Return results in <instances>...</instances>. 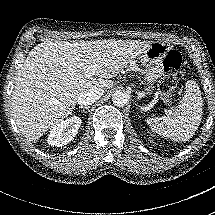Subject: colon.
Masks as SVG:
<instances>
[{"mask_svg": "<svg viewBox=\"0 0 215 215\" xmlns=\"http://www.w3.org/2000/svg\"><path fill=\"white\" fill-rule=\"evenodd\" d=\"M182 55L178 51H169L163 61L166 76L160 81L158 89L160 97L167 103L174 100L176 78L174 74L181 68Z\"/></svg>", "mask_w": 215, "mask_h": 215, "instance_id": "obj_1", "label": "colon"}]
</instances>
